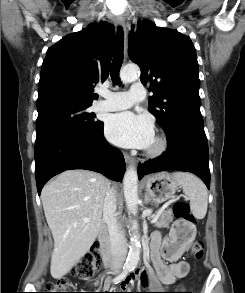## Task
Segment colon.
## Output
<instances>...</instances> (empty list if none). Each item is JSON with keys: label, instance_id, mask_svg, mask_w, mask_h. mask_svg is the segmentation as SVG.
Segmentation results:
<instances>
[{"label": "colon", "instance_id": "colon-1", "mask_svg": "<svg viewBox=\"0 0 245 293\" xmlns=\"http://www.w3.org/2000/svg\"><path fill=\"white\" fill-rule=\"evenodd\" d=\"M173 214L178 222L173 227V241L175 237L180 235L183 231L184 223L192 224L195 222L194 216L191 214L189 205L185 201H176L173 205ZM191 255L196 260H201L204 257V242L203 240H196L191 246ZM101 265V256L98 249L94 250L85 256L76 264L72 271V275L79 279H89L94 270ZM185 287H180L177 292L173 293H192L185 292ZM76 286L68 279L61 278L53 282H49L45 286L42 293H82L76 292Z\"/></svg>", "mask_w": 245, "mask_h": 293}]
</instances>
